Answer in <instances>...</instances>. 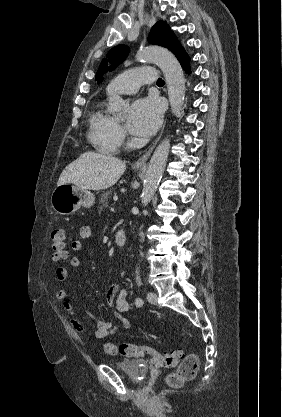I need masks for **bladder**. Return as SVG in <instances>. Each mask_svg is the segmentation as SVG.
I'll return each instance as SVG.
<instances>
[{
    "instance_id": "bladder-1",
    "label": "bladder",
    "mask_w": 282,
    "mask_h": 417,
    "mask_svg": "<svg viewBox=\"0 0 282 417\" xmlns=\"http://www.w3.org/2000/svg\"><path fill=\"white\" fill-rule=\"evenodd\" d=\"M113 365L135 383L143 381L150 373L149 363L144 359L122 360Z\"/></svg>"
}]
</instances>
